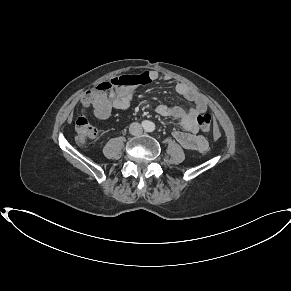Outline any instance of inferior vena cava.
<instances>
[{
    "mask_svg": "<svg viewBox=\"0 0 291 291\" xmlns=\"http://www.w3.org/2000/svg\"><path fill=\"white\" fill-rule=\"evenodd\" d=\"M129 131L132 135L138 136L142 134L143 128L139 123L134 122L130 125Z\"/></svg>",
    "mask_w": 291,
    "mask_h": 291,
    "instance_id": "inferior-vena-cava-1",
    "label": "inferior vena cava"
}]
</instances>
